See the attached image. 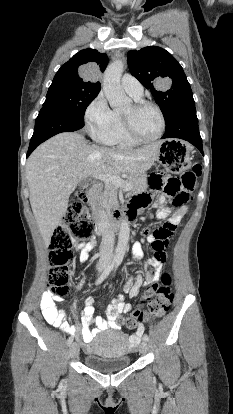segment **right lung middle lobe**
<instances>
[{
  "label": "right lung middle lobe",
  "instance_id": "1",
  "mask_svg": "<svg viewBox=\"0 0 233 414\" xmlns=\"http://www.w3.org/2000/svg\"><path fill=\"white\" fill-rule=\"evenodd\" d=\"M99 92L100 89L97 88H88L62 80H53L43 107L58 109L84 119L87 106L95 99Z\"/></svg>",
  "mask_w": 233,
  "mask_h": 414
}]
</instances>
